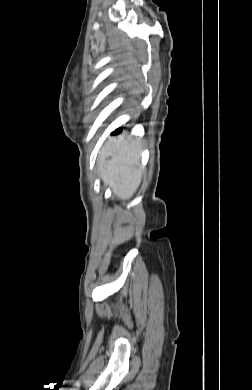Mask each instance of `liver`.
<instances>
[{"mask_svg":"<svg viewBox=\"0 0 252 390\" xmlns=\"http://www.w3.org/2000/svg\"><path fill=\"white\" fill-rule=\"evenodd\" d=\"M141 142L127 135L110 137L102 147L99 171L105 185L112 187L114 195L127 200L138 189L142 167L140 165ZM106 157H110L106 160Z\"/></svg>","mask_w":252,"mask_h":390,"instance_id":"1","label":"liver"}]
</instances>
